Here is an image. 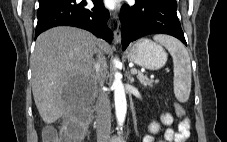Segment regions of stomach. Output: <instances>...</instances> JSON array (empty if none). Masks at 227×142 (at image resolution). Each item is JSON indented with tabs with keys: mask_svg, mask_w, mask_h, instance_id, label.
<instances>
[{
	"mask_svg": "<svg viewBox=\"0 0 227 142\" xmlns=\"http://www.w3.org/2000/svg\"><path fill=\"white\" fill-rule=\"evenodd\" d=\"M127 58L141 67L158 70L165 65L167 53L160 45L151 40L140 39L129 47Z\"/></svg>",
	"mask_w": 227,
	"mask_h": 142,
	"instance_id": "0dacf381",
	"label": "stomach"
}]
</instances>
